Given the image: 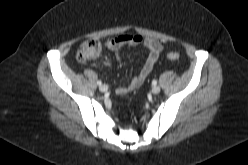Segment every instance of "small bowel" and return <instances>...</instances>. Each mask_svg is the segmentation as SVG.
<instances>
[{"mask_svg": "<svg viewBox=\"0 0 248 165\" xmlns=\"http://www.w3.org/2000/svg\"><path fill=\"white\" fill-rule=\"evenodd\" d=\"M104 45L114 51L117 58H121V49L124 46L142 45L148 50L147 59L139 73L126 85L119 86L117 88L118 94H126L131 90L139 88L151 73L162 51V45L157 40L134 34H122L115 38L108 39Z\"/></svg>", "mask_w": 248, "mask_h": 165, "instance_id": "c3829d8e", "label": "small bowel"}]
</instances>
